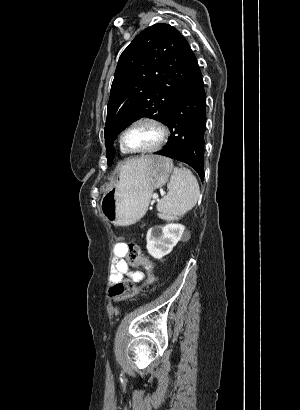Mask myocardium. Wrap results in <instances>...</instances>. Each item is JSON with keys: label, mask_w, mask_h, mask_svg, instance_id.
I'll list each match as a JSON object with an SVG mask.
<instances>
[{"label": "myocardium", "mask_w": 300, "mask_h": 410, "mask_svg": "<svg viewBox=\"0 0 300 410\" xmlns=\"http://www.w3.org/2000/svg\"><path fill=\"white\" fill-rule=\"evenodd\" d=\"M141 123H149V124L156 126L160 132V139L153 147L146 148V149H131L125 145V142H124L125 134L133 126L137 124H141ZM168 137H169V130L164 122H162L160 119L155 118V117L144 116V117L135 119L122 130L119 136V142H120L121 148L129 154H149V153H155L161 150L166 144Z\"/></svg>", "instance_id": "1"}]
</instances>
